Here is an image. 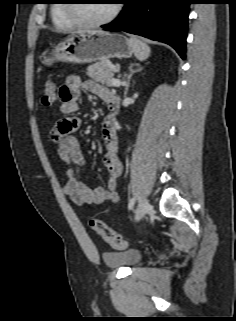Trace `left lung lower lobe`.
Wrapping results in <instances>:
<instances>
[{
	"label": "left lung lower lobe",
	"mask_w": 236,
	"mask_h": 321,
	"mask_svg": "<svg viewBox=\"0 0 236 321\" xmlns=\"http://www.w3.org/2000/svg\"><path fill=\"white\" fill-rule=\"evenodd\" d=\"M121 14L101 26L164 42L185 59L187 21L191 0H124Z\"/></svg>",
	"instance_id": "left-lung-lower-lobe-1"
}]
</instances>
